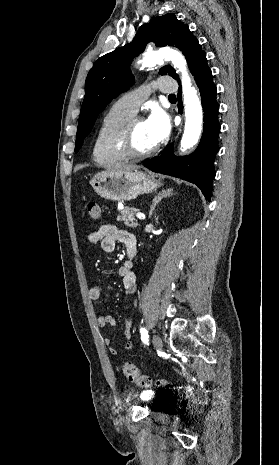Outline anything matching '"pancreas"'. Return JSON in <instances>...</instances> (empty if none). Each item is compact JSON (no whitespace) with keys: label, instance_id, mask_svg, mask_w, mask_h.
<instances>
[{"label":"pancreas","instance_id":"1","mask_svg":"<svg viewBox=\"0 0 279 465\" xmlns=\"http://www.w3.org/2000/svg\"><path fill=\"white\" fill-rule=\"evenodd\" d=\"M135 209L125 207L123 210H120V214L117 216L118 222H124V224L128 227L135 228L139 226L137 220L134 218Z\"/></svg>","mask_w":279,"mask_h":465}]
</instances>
